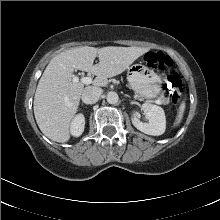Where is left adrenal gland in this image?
I'll return each mask as SVG.
<instances>
[{
	"instance_id": "left-adrenal-gland-1",
	"label": "left adrenal gland",
	"mask_w": 220,
	"mask_h": 220,
	"mask_svg": "<svg viewBox=\"0 0 220 220\" xmlns=\"http://www.w3.org/2000/svg\"><path fill=\"white\" fill-rule=\"evenodd\" d=\"M125 97H128V98H130V96H129V95H125Z\"/></svg>"
}]
</instances>
